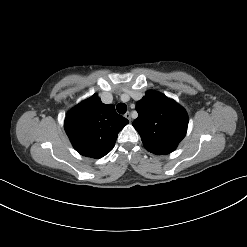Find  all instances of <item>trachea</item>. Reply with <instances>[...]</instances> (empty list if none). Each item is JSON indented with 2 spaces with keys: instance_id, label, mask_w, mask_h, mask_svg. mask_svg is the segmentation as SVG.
Segmentation results:
<instances>
[{
  "instance_id": "1",
  "label": "trachea",
  "mask_w": 247,
  "mask_h": 247,
  "mask_svg": "<svg viewBox=\"0 0 247 247\" xmlns=\"http://www.w3.org/2000/svg\"><path fill=\"white\" fill-rule=\"evenodd\" d=\"M116 109L119 114H124L127 111V105L124 103H119L116 106Z\"/></svg>"
}]
</instances>
